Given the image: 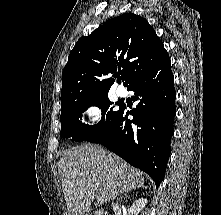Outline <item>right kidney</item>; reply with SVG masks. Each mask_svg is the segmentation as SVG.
<instances>
[{
    "label": "right kidney",
    "instance_id": "obj_1",
    "mask_svg": "<svg viewBox=\"0 0 221 215\" xmlns=\"http://www.w3.org/2000/svg\"><path fill=\"white\" fill-rule=\"evenodd\" d=\"M147 203L148 201L146 198H139L128 209V215H138L139 212L145 208Z\"/></svg>",
    "mask_w": 221,
    "mask_h": 215
}]
</instances>
